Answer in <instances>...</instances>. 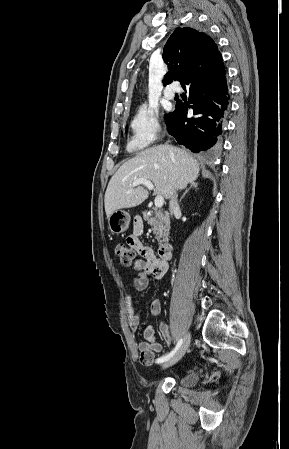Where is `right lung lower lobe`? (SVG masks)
<instances>
[{"mask_svg": "<svg viewBox=\"0 0 289 449\" xmlns=\"http://www.w3.org/2000/svg\"><path fill=\"white\" fill-rule=\"evenodd\" d=\"M225 74L222 64L208 77L189 84L191 105L178 101L170 113L168 132L194 153L214 150L221 144L224 113L229 103ZM188 108L193 109V118L187 119Z\"/></svg>", "mask_w": 289, "mask_h": 449, "instance_id": "right-lung-lower-lobe-1", "label": "right lung lower lobe"}]
</instances>
